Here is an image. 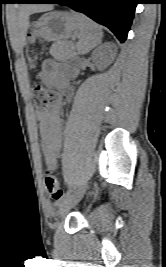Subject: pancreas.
Instances as JSON below:
<instances>
[{
    "label": "pancreas",
    "instance_id": "pancreas-1",
    "mask_svg": "<svg viewBox=\"0 0 166 267\" xmlns=\"http://www.w3.org/2000/svg\"><path fill=\"white\" fill-rule=\"evenodd\" d=\"M50 54L58 60H65L75 56V50L72 45L63 41L54 43L50 49Z\"/></svg>",
    "mask_w": 166,
    "mask_h": 267
}]
</instances>
